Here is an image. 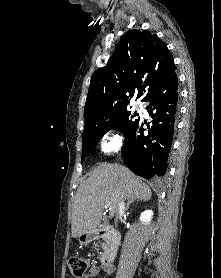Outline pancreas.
Instances as JSON below:
<instances>
[{"label":"pancreas","instance_id":"obj_1","mask_svg":"<svg viewBox=\"0 0 221 278\" xmlns=\"http://www.w3.org/2000/svg\"><path fill=\"white\" fill-rule=\"evenodd\" d=\"M106 246H107V243H103V244H102V247H103V248H106Z\"/></svg>","mask_w":221,"mask_h":278}]
</instances>
